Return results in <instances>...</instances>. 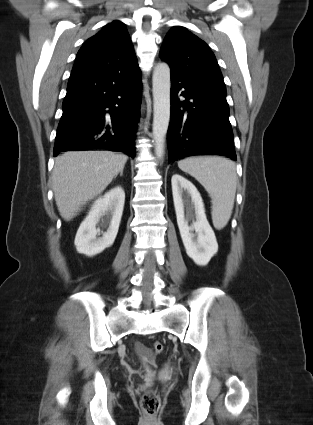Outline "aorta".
<instances>
[{"instance_id":"762f6f07","label":"aorta","mask_w":313,"mask_h":425,"mask_svg":"<svg viewBox=\"0 0 313 425\" xmlns=\"http://www.w3.org/2000/svg\"><path fill=\"white\" fill-rule=\"evenodd\" d=\"M153 92V138L158 158L164 154L165 137L170 121V67L167 63H158L152 76Z\"/></svg>"}]
</instances>
